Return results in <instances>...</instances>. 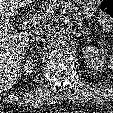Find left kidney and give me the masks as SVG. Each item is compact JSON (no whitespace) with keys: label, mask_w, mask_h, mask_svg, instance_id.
I'll return each instance as SVG.
<instances>
[{"label":"left kidney","mask_w":113,"mask_h":113,"mask_svg":"<svg viewBox=\"0 0 113 113\" xmlns=\"http://www.w3.org/2000/svg\"><path fill=\"white\" fill-rule=\"evenodd\" d=\"M83 57L89 69L94 71L105 70V60L107 50L105 48H96L94 46H86L83 48Z\"/></svg>","instance_id":"5707ae66"}]
</instances>
